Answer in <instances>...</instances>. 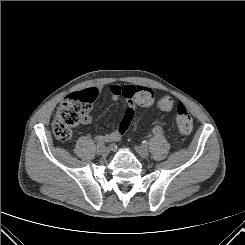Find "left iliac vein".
<instances>
[{
	"label": "left iliac vein",
	"instance_id": "1",
	"mask_svg": "<svg viewBox=\"0 0 245 245\" xmlns=\"http://www.w3.org/2000/svg\"><path fill=\"white\" fill-rule=\"evenodd\" d=\"M135 150L141 157L146 158L149 155V151L145 146H135Z\"/></svg>",
	"mask_w": 245,
	"mask_h": 245
}]
</instances>
